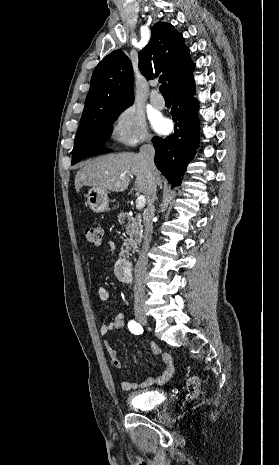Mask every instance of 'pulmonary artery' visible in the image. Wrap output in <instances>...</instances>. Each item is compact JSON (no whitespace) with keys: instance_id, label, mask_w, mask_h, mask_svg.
Instances as JSON below:
<instances>
[{"instance_id":"e3ab8cb5","label":"pulmonary artery","mask_w":279,"mask_h":465,"mask_svg":"<svg viewBox=\"0 0 279 465\" xmlns=\"http://www.w3.org/2000/svg\"><path fill=\"white\" fill-rule=\"evenodd\" d=\"M150 102L156 109H163L165 107V100L155 90L151 92Z\"/></svg>"}]
</instances>
